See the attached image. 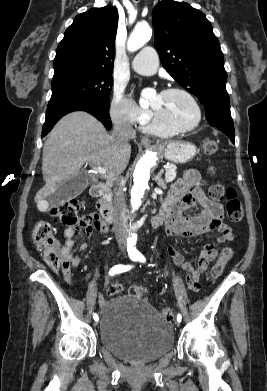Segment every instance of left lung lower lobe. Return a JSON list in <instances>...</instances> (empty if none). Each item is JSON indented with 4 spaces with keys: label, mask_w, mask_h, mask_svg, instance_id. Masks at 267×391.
Instances as JSON below:
<instances>
[{
    "label": "left lung lower lobe",
    "mask_w": 267,
    "mask_h": 391,
    "mask_svg": "<svg viewBox=\"0 0 267 391\" xmlns=\"http://www.w3.org/2000/svg\"><path fill=\"white\" fill-rule=\"evenodd\" d=\"M204 107L209 124L225 133L234 143V124L231 117L229 101H214L207 103Z\"/></svg>",
    "instance_id": "1"
}]
</instances>
